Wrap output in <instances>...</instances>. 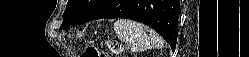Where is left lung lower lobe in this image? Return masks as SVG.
<instances>
[{
	"label": "left lung lower lobe",
	"instance_id": "left-lung-lower-lobe-1",
	"mask_svg": "<svg viewBox=\"0 0 249 57\" xmlns=\"http://www.w3.org/2000/svg\"><path fill=\"white\" fill-rule=\"evenodd\" d=\"M179 14V0H112L90 20L128 18L142 22L156 30L174 50Z\"/></svg>",
	"mask_w": 249,
	"mask_h": 57
}]
</instances>
